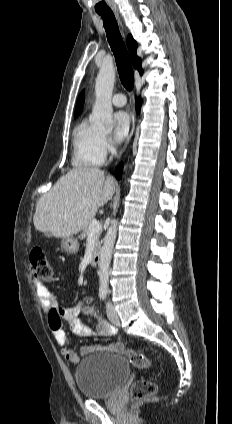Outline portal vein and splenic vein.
I'll list each match as a JSON object with an SVG mask.
<instances>
[{"instance_id":"obj_1","label":"portal vein and splenic vein","mask_w":232,"mask_h":424,"mask_svg":"<svg viewBox=\"0 0 232 424\" xmlns=\"http://www.w3.org/2000/svg\"><path fill=\"white\" fill-rule=\"evenodd\" d=\"M101 230V224L99 221L93 220L90 227H89V231L92 233L97 232Z\"/></svg>"}]
</instances>
